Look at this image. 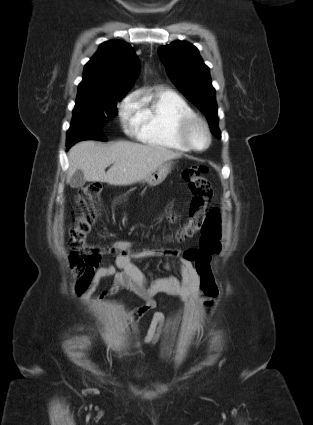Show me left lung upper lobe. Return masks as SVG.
Here are the masks:
<instances>
[{"label":"left lung upper lobe","instance_id":"1","mask_svg":"<svg viewBox=\"0 0 313 425\" xmlns=\"http://www.w3.org/2000/svg\"><path fill=\"white\" fill-rule=\"evenodd\" d=\"M158 54L171 81L204 113L213 135L220 139L215 89L198 49L189 42L175 41L159 47Z\"/></svg>","mask_w":313,"mask_h":425}]
</instances>
